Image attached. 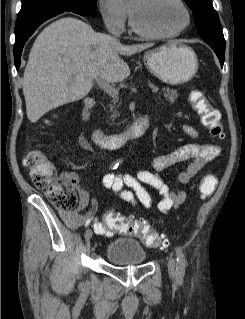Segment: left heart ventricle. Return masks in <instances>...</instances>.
Wrapping results in <instances>:
<instances>
[{"label": "left heart ventricle", "mask_w": 245, "mask_h": 319, "mask_svg": "<svg viewBox=\"0 0 245 319\" xmlns=\"http://www.w3.org/2000/svg\"><path fill=\"white\" fill-rule=\"evenodd\" d=\"M128 7L134 12L138 23L152 32L177 31L186 20L183 9L175 0H129Z\"/></svg>", "instance_id": "1"}]
</instances>
